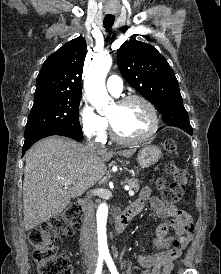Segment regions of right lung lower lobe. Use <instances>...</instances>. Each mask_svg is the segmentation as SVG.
<instances>
[{
  "mask_svg": "<svg viewBox=\"0 0 221 274\" xmlns=\"http://www.w3.org/2000/svg\"><path fill=\"white\" fill-rule=\"evenodd\" d=\"M52 135L66 136L76 140L83 138L82 134L76 133L74 131L65 130V129H47L29 136H26L22 153L24 154L38 140L48 136H52Z\"/></svg>",
  "mask_w": 221,
  "mask_h": 274,
  "instance_id": "1",
  "label": "right lung lower lobe"
}]
</instances>
